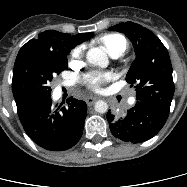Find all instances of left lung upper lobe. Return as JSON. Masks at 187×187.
I'll use <instances>...</instances> for the list:
<instances>
[{
    "label": "left lung upper lobe",
    "instance_id": "1",
    "mask_svg": "<svg viewBox=\"0 0 187 187\" xmlns=\"http://www.w3.org/2000/svg\"><path fill=\"white\" fill-rule=\"evenodd\" d=\"M111 31L125 33L136 53L126 81L136 89V99L170 110L174 94L172 66L167 49L153 32L133 22L119 23Z\"/></svg>",
    "mask_w": 187,
    "mask_h": 187
}]
</instances>
